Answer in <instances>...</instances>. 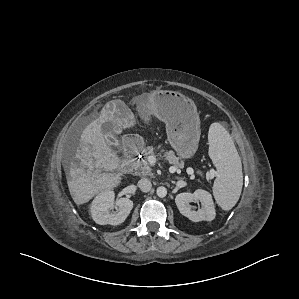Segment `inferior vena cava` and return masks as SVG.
Returning <instances> with one entry per match:
<instances>
[{"label":"inferior vena cava","instance_id":"obj_1","mask_svg":"<svg viewBox=\"0 0 299 299\" xmlns=\"http://www.w3.org/2000/svg\"><path fill=\"white\" fill-rule=\"evenodd\" d=\"M138 187L140 188L141 191L148 192L152 187V183L149 179L142 178L138 181Z\"/></svg>","mask_w":299,"mask_h":299}]
</instances>
